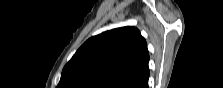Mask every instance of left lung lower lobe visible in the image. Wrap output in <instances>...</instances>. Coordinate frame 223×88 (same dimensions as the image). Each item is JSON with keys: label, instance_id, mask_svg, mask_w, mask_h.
I'll list each match as a JSON object with an SVG mask.
<instances>
[{"label": "left lung lower lobe", "instance_id": "0a47b994", "mask_svg": "<svg viewBox=\"0 0 223 88\" xmlns=\"http://www.w3.org/2000/svg\"><path fill=\"white\" fill-rule=\"evenodd\" d=\"M135 88H148V78L141 82L139 85H137Z\"/></svg>", "mask_w": 223, "mask_h": 88}]
</instances>
